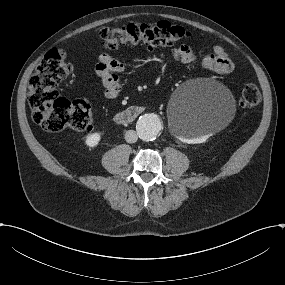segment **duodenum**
Segmentation results:
<instances>
[{"instance_id":"obj_1","label":"duodenum","mask_w":285,"mask_h":285,"mask_svg":"<svg viewBox=\"0 0 285 285\" xmlns=\"http://www.w3.org/2000/svg\"><path fill=\"white\" fill-rule=\"evenodd\" d=\"M141 105L130 106L115 115V121L120 125H126L136 120L143 112Z\"/></svg>"}]
</instances>
